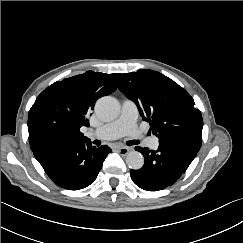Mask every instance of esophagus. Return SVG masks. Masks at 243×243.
<instances>
[{
    "label": "esophagus",
    "mask_w": 243,
    "mask_h": 243,
    "mask_svg": "<svg viewBox=\"0 0 243 243\" xmlns=\"http://www.w3.org/2000/svg\"><path fill=\"white\" fill-rule=\"evenodd\" d=\"M117 151L121 154V155H127L129 153V148L127 147H119L117 149Z\"/></svg>",
    "instance_id": "esophagus-1"
}]
</instances>
